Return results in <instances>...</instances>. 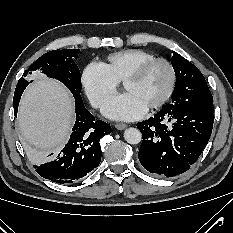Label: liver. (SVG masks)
<instances>
[{
    "label": "liver",
    "mask_w": 233,
    "mask_h": 233,
    "mask_svg": "<svg viewBox=\"0 0 233 233\" xmlns=\"http://www.w3.org/2000/svg\"><path fill=\"white\" fill-rule=\"evenodd\" d=\"M74 115L73 99L58 81L40 78L25 91L19 105L18 121L22 135L35 147L30 154L35 163L66 143Z\"/></svg>",
    "instance_id": "6515ba94"
}]
</instances>
